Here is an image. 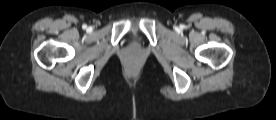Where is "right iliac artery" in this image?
I'll list each match as a JSON object with an SVG mask.
<instances>
[{
	"label": "right iliac artery",
	"mask_w": 276,
	"mask_h": 120,
	"mask_svg": "<svg viewBox=\"0 0 276 120\" xmlns=\"http://www.w3.org/2000/svg\"><path fill=\"white\" fill-rule=\"evenodd\" d=\"M82 28H83V29H86V28H87V25H86V24H84V25L82 26Z\"/></svg>",
	"instance_id": "right-iliac-artery-1"
}]
</instances>
